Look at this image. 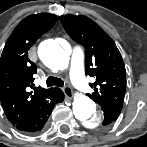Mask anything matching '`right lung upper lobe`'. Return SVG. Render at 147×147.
<instances>
[{
    "mask_svg": "<svg viewBox=\"0 0 147 147\" xmlns=\"http://www.w3.org/2000/svg\"><path fill=\"white\" fill-rule=\"evenodd\" d=\"M56 20L49 13L30 15L16 26L4 46L0 58V100L13 125L32 116L53 96L55 88L33 87L37 66L28 58V50Z\"/></svg>",
    "mask_w": 147,
    "mask_h": 147,
    "instance_id": "cb5924a9",
    "label": "right lung upper lobe"
}]
</instances>
